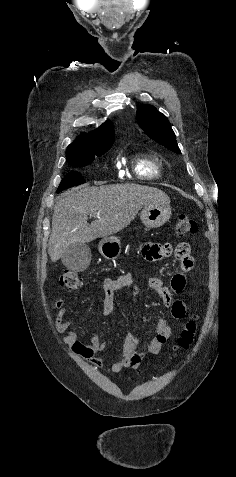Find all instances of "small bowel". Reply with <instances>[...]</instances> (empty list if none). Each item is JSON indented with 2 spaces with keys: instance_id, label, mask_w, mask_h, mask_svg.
Masks as SVG:
<instances>
[{
  "instance_id": "small-bowel-1",
  "label": "small bowel",
  "mask_w": 236,
  "mask_h": 477,
  "mask_svg": "<svg viewBox=\"0 0 236 477\" xmlns=\"http://www.w3.org/2000/svg\"><path fill=\"white\" fill-rule=\"evenodd\" d=\"M186 250V253H182ZM173 253V247L170 243H147L143 246L142 256L148 261H159L168 258ZM176 258L180 261V272L175 274L171 280L169 288L161 279L149 277L146 285L153 290L161 299L162 303L171 309L172 317L176 320H183L187 313L186 304L180 298H174L180 295L186 286V273L191 271L194 265V259L190 255V246L188 243L178 244L175 251ZM133 287L136 292L139 288L136 285L131 274H122L116 278H105L103 280V308L104 316L110 315L115 308L114 297L117 292ZM58 314L55 320V327L58 332L64 333V342L73 352L90 360L96 367L102 365L100 353L106 348V343L99 340L96 333L93 334L89 343L80 340L78 334L70 329L71 320L68 318V312L62 299L54 302ZM172 335V327L165 319L160 318L157 322L155 334L147 348L140 356L141 360L148 356L158 355L166 340ZM139 344V338L128 333L123 341L121 355L110 362L112 373H118L124 368L132 366L131 359L133 351ZM140 362L137 364L139 365ZM135 365V366H137Z\"/></svg>"
}]
</instances>
